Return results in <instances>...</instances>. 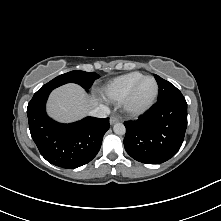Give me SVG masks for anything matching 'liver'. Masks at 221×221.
<instances>
[{"mask_svg":"<svg viewBox=\"0 0 221 221\" xmlns=\"http://www.w3.org/2000/svg\"><path fill=\"white\" fill-rule=\"evenodd\" d=\"M97 104L98 99L88 96L80 86L66 84L51 93L47 112L53 119L69 123L87 115Z\"/></svg>","mask_w":221,"mask_h":221,"instance_id":"obj_1","label":"liver"}]
</instances>
